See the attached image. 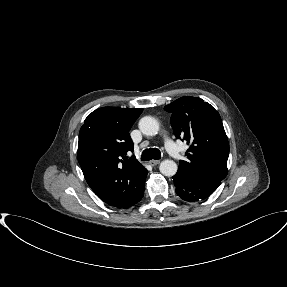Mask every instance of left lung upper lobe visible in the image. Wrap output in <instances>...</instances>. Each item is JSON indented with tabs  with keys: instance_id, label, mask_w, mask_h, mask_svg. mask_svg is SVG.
I'll return each mask as SVG.
<instances>
[{
	"instance_id": "1",
	"label": "left lung upper lobe",
	"mask_w": 287,
	"mask_h": 287,
	"mask_svg": "<svg viewBox=\"0 0 287 287\" xmlns=\"http://www.w3.org/2000/svg\"><path fill=\"white\" fill-rule=\"evenodd\" d=\"M177 138L190 146L179 174L191 181L221 182L228 174V139L218 112L200 98L182 97L164 108Z\"/></svg>"
}]
</instances>
